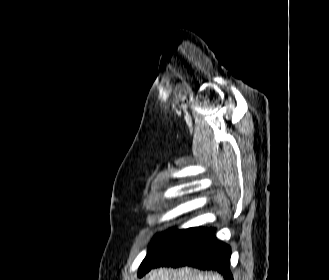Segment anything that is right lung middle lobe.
Listing matches in <instances>:
<instances>
[{"instance_id": "obj_1", "label": "right lung middle lobe", "mask_w": 329, "mask_h": 280, "mask_svg": "<svg viewBox=\"0 0 329 280\" xmlns=\"http://www.w3.org/2000/svg\"><path fill=\"white\" fill-rule=\"evenodd\" d=\"M184 231L173 230L162 235H157L155 242L149 247L147 256L143 260L139 269V276L143 275L155 262L158 261L163 252L171 245V243Z\"/></svg>"}]
</instances>
